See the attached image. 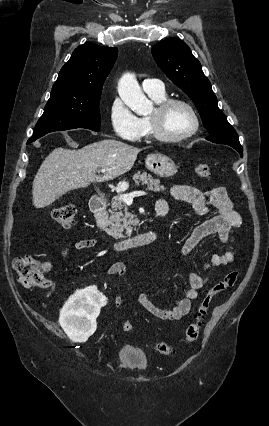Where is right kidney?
Wrapping results in <instances>:
<instances>
[{
  "label": "right kidney",
  "mask_w": 269,
  "mask_h": 426,
  "mask_svg": "<svg viewBox=\"0 0 269 426\" xmlns=\"http://www.w3.org/2000/svg\"><path fill=\"white\" fill-rule=\"evenodd\" d=\"M107 303L96 287L77 291L63 306L59 323L67 336L75 342H85L95 332L96 318L101 306Z\"/></svg>",
  "instance_id": "1"
}]
</instances>
